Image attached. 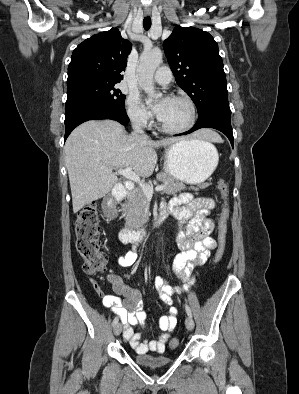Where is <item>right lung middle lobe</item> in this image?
Listing matches in <instances>:
<instances>
[{"mask_svg": "<svg viewBox=\"0 0 299 394\" xmlns=\"http://www.w3.org/2000/svg\"><path fill=\"white\" fill-rule=\"evenodd\" d=\"M117 83L91 82L67 88V102L96 100L118 111H124L125 95L116 88Z\"/></svg>", "mask_w": 299, "mask_h": 394, "instance_id": "right-lung-middle-lobe-1", "label": "right lung middle lobe"}]
</instances>
